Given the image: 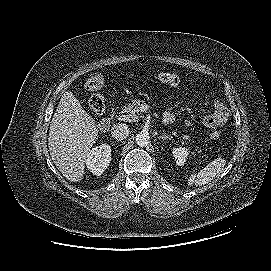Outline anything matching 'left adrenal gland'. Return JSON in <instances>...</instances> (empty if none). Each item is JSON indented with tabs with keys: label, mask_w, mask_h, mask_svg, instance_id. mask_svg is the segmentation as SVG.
<instances>
[{
	"label": "left adrenal gland",
	"mask_w": 271,
	"mask_h": 271,
	"mask_svg": "<svg viewBox=\"0 0 271 271\" xmlns=\"http://www.w3.org/2000/svg\"><path fill=\"white\" fill-rule=\"evenodd\" d=\"M167 138L172 139L170 136H167V135H160V136H158V139H162V140H165Z\"/></svg>",
	"instance_id": "left-adrenal-gland-1"
}]
</instances>
